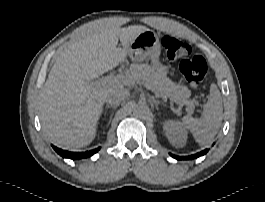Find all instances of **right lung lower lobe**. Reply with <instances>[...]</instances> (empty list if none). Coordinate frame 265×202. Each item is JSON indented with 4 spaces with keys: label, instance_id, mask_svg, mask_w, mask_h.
Masks as SVG:
<instances>
[{
    "label": "right lung lower lobe",
    "instance_id": "obj_1",
    "mask_svg": "<svg viewBox=\"0 0 265 202\" xmlns=\"http://www.w3.org/2000/svg\"><path fill=\"white\" fill-rule=\"evenodd\" d=\"M54 148V150L61 155L64 158H70V159H82V158H87L92 156L93 154H95L96 152H98V150L100 148H96L94 150L91 151H87V152H68L65 150H61L55 146H52Z\"/></svg>",
    "mask_w": 265,
    "mask_h": 202
}]
</instances>
